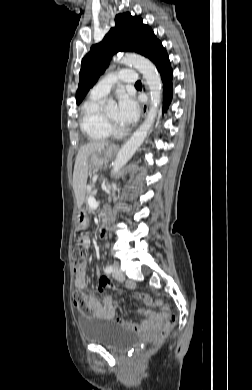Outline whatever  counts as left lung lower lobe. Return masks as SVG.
<instances>
[{
	"label": "left lung lower lobe",
	"mask_w": 252,
	"mask_h": 390,
	"mask_svg": "<svg viewBox=\"0 0 252 390\" xmlns=\"http://www.w3.org/2000/svg\"><path fill=\"white\" fill-rule=\"evenodd\" d=\"M157 67L163 82L164 97H163V113L167 111L172 100L173 84H172V69L168 54L161 42H157L151 49L148 57Z\"/></svg>",
	"instance_id": "obj_1"
}]
</instances>
